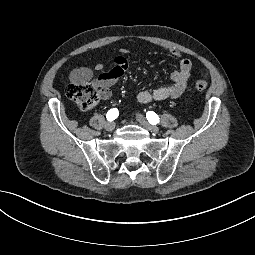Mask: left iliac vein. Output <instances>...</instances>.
<instances>
[{
	"label": "left iliac vein",
	"instance_id": "1",
	"mask_svg": "<svg viewBox=\"0 0 255 255\" xmlns=\"http://www.w3.org/2000/svg\"><path fill=\"white\" fill-rule=\"evenodd\" d=\"M137 121L140 123V125H142L145 129H147L148 131L152 132V133H158L159 132V128L155 125H151L146 119L145 117H143L141 114L137 115Z\"/></svg>",
	"mask_w": 255,
	"mask_h": 255
}]
</instances>
